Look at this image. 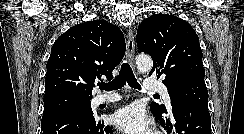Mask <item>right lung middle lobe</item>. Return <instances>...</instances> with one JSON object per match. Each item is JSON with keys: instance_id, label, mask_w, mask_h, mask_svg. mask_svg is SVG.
I'll return each mask as SVG.
<instances>
[{"instance_id": "right-lung-middle-lobe-1", "label": "right lung middle lobe", "mask_w": 244, "mask_h": 134, "mask_svg": "<svg viewBox=\"0 0 244 134\" xmlns=\"http://www.w3.org/2000/svg\"><path fill=\"white\" fill-rule=\"evenodd\" d=\"M72 110L93 114L90 100L75 97H58L44 100V114L41 123L53 115Z\"/></svg>"}]
</instances>
